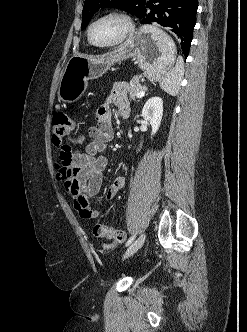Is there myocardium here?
<instances>
[{
  "instance_id": "1",
  "label": "myocardium",
  "mask_w": 247,
  "mask_h": 332,
  "mask_svg": "<svg viewBox=\"0 0 247 332\" xmlns=\"http://www.w3.org/2000/svg\"><path fill=\"white\" fill-rule=\"evenodd\" d=\"M107 17H116V18L121 19L125 24V30L117 40H115L111 43H107V44H97L91 38V29L97 21L107 18ZM134 29H135L134 22L132 21L131 17L128 14L121 12V11H108V12H105V13L97 16L95 19H93L90 22V24L88 25V28H87V39L91 45H93L97 48H113V47H117V46L121 45L122 43H124L133 34Z\"/></svg>"
}]
</instances>
